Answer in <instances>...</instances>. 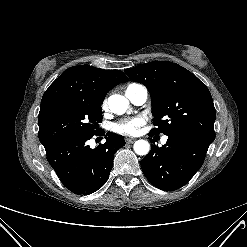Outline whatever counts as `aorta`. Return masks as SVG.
Listing matches in <instances>:
<instances>
[{
	"mask_svg": "<svg viewBox=\"0 0 247 247\" xmlns=\"http://www.w3.org/2000/svg\"><path fill=\"white\" fill-rule=\"evenodd\" d=\"M108 106L113 113L121 115L128 109L129 101L122 95L114 94L108 98ZM133 148L136 154L143 156L149 153L150 144L146 140H137Z\"/></svg>",
	"mask_w": 247,
	"mask_h": 247,
	"instance_id": "obj_1",
	"label": "aorta"
}]
</instances>
